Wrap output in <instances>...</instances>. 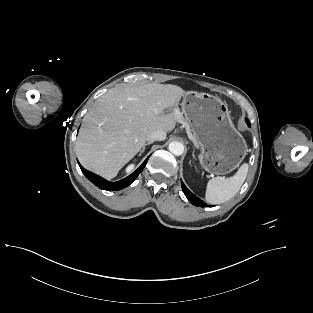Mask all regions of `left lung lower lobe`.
I'll return each instance as SVG.
<instances>
[{"mask_svg":"<svg viewBox=\"0 0 313 313\" xmlns=\"http://www.w3.org/2000/svg\"><path fill=\"white\" fill-rule=\"evenodd\" d=\"M248 126H250L249 121H246ZM181 186L183 189V192L185 194V196L187 197V199L195 206L198 207H206L208 206L207 204H205L201 199H199L197 196H195L186 186L185 184L181 181Z\"/></svg>","mask_w":313,"mask_h":313,"instance_id":"left-lung-lower-lobe-1","label":"left lung lower lobe"}]
</instances>
